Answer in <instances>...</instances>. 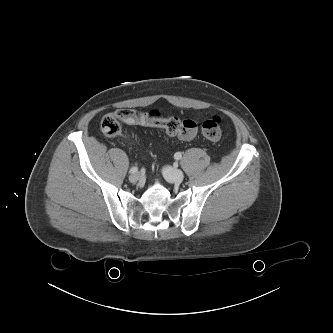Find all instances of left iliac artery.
<instances>
[{"label": "left iliac artery", "mask_w": 333, "mask_h": 333, "mask_svg": "<svg viewBox=\"0 0 333 333\" xmlns=\"http://www.w3.org/2000/svg\"><path fill=\"white\" fill-rule=\"evenodd\" d=\"M174 158L180 160L182 158V154L180 152L175 153Z\"/></svg>", "instance_id": "1"}]
</instances>
